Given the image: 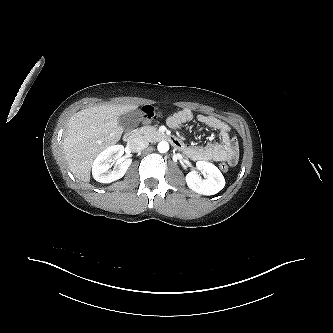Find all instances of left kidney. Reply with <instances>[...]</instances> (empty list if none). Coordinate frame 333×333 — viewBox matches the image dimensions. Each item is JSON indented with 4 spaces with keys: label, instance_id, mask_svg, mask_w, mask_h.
Masks as SVG:
<instances>
[{
    "label": "left kidney",
    "instance_id": "1",
    "mask_svg": "<svg viewBox=\"0 0 333 333\" xmlns=\"http://www.w3.org/2000/svg\"><path fill=\"white\" fill-rule=\"evenodd\" d=\"M196 168L207 175L204 179L197 171H191L186 175L187 185L192 191L202 195H214L224 188V176L215 165L206 161H198Z\"/></svg>",
    "mask_w": 333,
    "mask_h": 333
}]
</instances>
